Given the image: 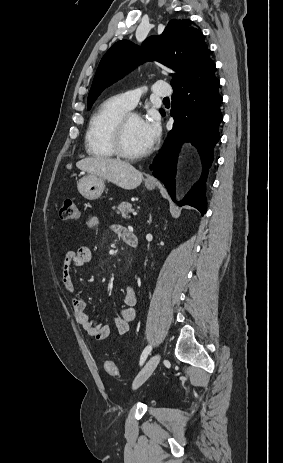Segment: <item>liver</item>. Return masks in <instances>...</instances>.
<instances>
[{
  "instance_id": "obj_1",
  "label": "liver",
  "mask_w": 283,
  "mask_h": 463,
  "mask_svg": "<svg viewBox=\"0 0 283 463\" xmlns=\"http://www.w3.org/2000/svg\"><path fill=\"white\" fill-rule=\"evenodd\" d=\"M76 167L126 190L135 189L143 180V174L140 171L130 163L120 159L99 156L87 157L78 161Z\"/></svg>"
}]
</instances>
